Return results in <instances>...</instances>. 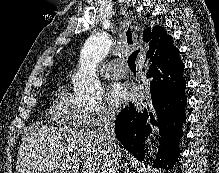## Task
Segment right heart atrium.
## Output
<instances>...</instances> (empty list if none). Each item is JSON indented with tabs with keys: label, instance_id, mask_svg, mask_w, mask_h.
Listing matches in <instances>:
<instances>
[{
	"label": "right heart atrium",
	"instance_id": "obj_1",
	"mask_svg": "<svg viewBox=\"0 0 219 173\" xmlns=\"http://www.w3.org/2000/svg\"><path fill=\"white\" fill-rule=\"evenodd\" d=\"M114 116V109L111 106L102 103L93 110L83 112L82 121L84 126L94 128L111 121Z\"/></svg>",
	"mask_w": 219,
	"mask_h": 173
}]
</instances>
